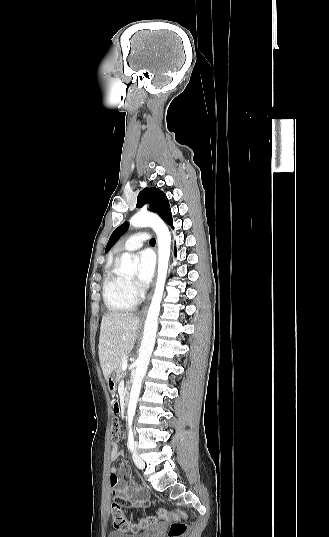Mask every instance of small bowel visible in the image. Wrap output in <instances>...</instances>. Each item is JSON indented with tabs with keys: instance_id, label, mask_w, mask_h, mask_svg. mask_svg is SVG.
<instances>
[{
	"instance_id": "small-bowel-1",
	"label": "small bowel",
	"mask_w": 329,
	"mask_h": 537,
	"mask_svg": "<svg viewBox=\"0 0 329 537\" xmlns=\"http://www.w3.org/2000/svg\"><path fill=\"white\" fill-rule=\"evenodd\" d=\"M112 412L117 414L122 411L124 405L120 398H115L113 400ZM123 456V451L120 449L116 442L111 443V458L113 461L119 459ZM128 476V467L126 464L120 466H112L110 474V484L113 488V493L111 496L112 501L118 502L121 499V503L127 505L129 501L133 499L143 500L145 492L132 482L127 480Z\"/></svg>"
}]
</instances>
